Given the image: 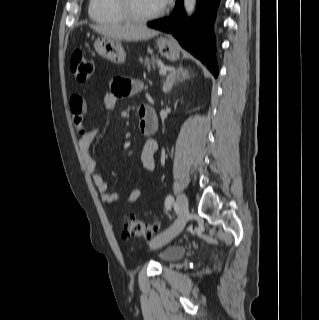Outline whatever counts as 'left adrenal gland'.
<instances>
[{
	"label": "left adrenal gland",
	"instance_id": "left-adrenal-gland-1",
	"mask_svg": "<svg viewBox=\"0 0 319 320\" xmlns=\"http://www.w3.org/2000/svg\"><path fill=\"white\" fill-rule=\"evenodd\" d=\"M189 77V71L182 67L170 72L165 79L163 91L165 93H169L172 90L174 84L176 85L177 82H181Z\"/></svg>",
	"mask_w": 319,
	"mask_h": 320
}]
</instances>
